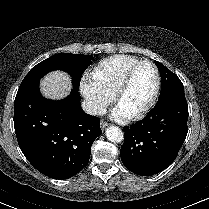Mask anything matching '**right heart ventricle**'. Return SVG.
Returning <instances> with one entry per match:
<instances>
[{"label":"right heart ventricle","mask_w":209,"mask_h":209,"mask_svg":"<svg viewBox=\"0 0 209 209\" xmlns=\"http://www.w3.org/2000/svg\"><path fill=\"white\" fill-rule=\"evenodd\" d=\"M138 60L136 56L125 54L106 58L95 66L92 77L114 94L128 68Z\"/></svg>","instance_id":"e07e8e85"}]
</instances>
